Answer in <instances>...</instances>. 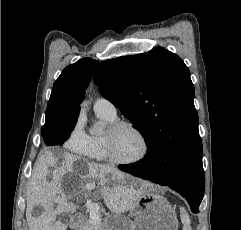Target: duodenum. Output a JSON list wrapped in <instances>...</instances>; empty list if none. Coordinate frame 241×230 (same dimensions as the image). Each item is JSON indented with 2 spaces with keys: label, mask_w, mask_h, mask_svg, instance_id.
Returning <instances> with one entry per match:
<instances>
[{
  "label": "duodenum",
  "mask_w": 241,
  "mask_h": 230,
  "mask_svg": "<svg viewBox=\"0 0 241 230\" xmlns=\"http://www.w3.org/2000/svg\"><path fill=\"white\" fill-rule=\"evenodd\" d=\"M82 220V217L80 215H75L73 219L70 222L71 228H77Z\"/></svg>",
  "instance_id": "duodenum-1"
}]
</instances>
